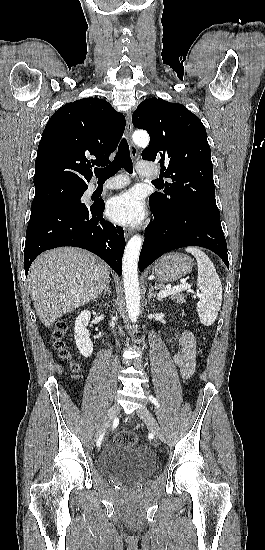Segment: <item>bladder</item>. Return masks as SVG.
Segmentation results:
<instances>
[{
    "label": "bladder",
    "mask_w": 265,
    "mask_h": 550,
    "mask_svg": "<svg viewBox=\"0 0 265 550\" xmlns=\"http://www.w3.org/2000/svg\"><path fill=\"white\" fill-rule=\"evenodd\" d=\"M99 470L123 480H144L156 467L155 457L145 446L112 444L103 449L98 461Z\"/></svg>",
    "instance_id": "obj_1"
}]
</instances>
